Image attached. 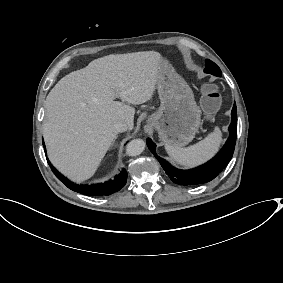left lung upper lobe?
I'll return each instance as SVG.
<instances>
[{"label":"left lung upper lobe","instance_id":"obj_1","mask_svg":"<svg viewBox=\"0 0 283 283\" xmlns=\"http://www.w3.org/2000/svg\"><path fill=\"white\" fill-rule=\"evenodd\" d=\"M204 72L210 73V74H213V75L219 76V77L222 74L220 68L214 62H212L211 60H208V59L206 60Z\"/></svg>","mask_w":283,"mask_h":283}]
</instances>
